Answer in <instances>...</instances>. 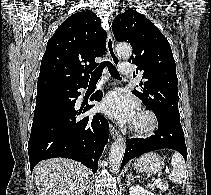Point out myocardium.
I'll return each mask as SVG.
<instances>
[{"label": "myocardium", "mask_w": 211, "mask_h": 195, "mask_svg": "<svg viewBox=\"0 0 211 195\" xmlns=\"http://www.w3.org/2000/svg\"><path fill=\"white\" fill-rule=\"evenodd\" d=\"M138 119L144 120L145 123H137ZM158 125L159 121L154 112L150 110H142L138 113L137 117L135 118L131 129L136 135L146 137L153 134L157 130Z\"/></svg>", "instance_id": "f54148a6"}]
</instances>
